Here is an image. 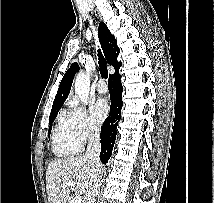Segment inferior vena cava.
Masks as SVG:
<instances>
[{
	"label": "inferior vena cava",
	"mask_w": 214,
	"mask_h": 203,
	"mask_svg": "<svg viewBox=\"0 0 214 203\" xmlns=\"http://www.w3.org/2000/svg\"><path fill=\"white\" fill-rule=\"evenodd\" d=\"M100 132L98 127H91L89 131V142L83 158L88 160L91 166L90 186L87 190L83 203H96L100 190L103 168L100 162Z\"/></svg>",
	"instance_id": "602c4592"
}]
</instances>
